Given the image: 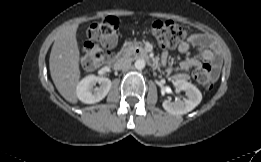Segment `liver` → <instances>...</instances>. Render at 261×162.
I'll return each mask as SVG.
<instances>
[{
  "instance_id": "liver-1",
  "label": "liver",
  "mask_w": 261,
  "mask_h": 162,
  "mask_svg": "<svg viewBox=\"0 0 261 162\" xmlns=\"http://www.w3.org/2000/svg\"><path fill=\"white\" fill-rule=\"evenodd\" d=\"M77 28L78 24L70 25L56 36L49 58L51 78L58 92L73 104L78 102L76 87L81 77Z\"/></svg>"
}]
</instances>
